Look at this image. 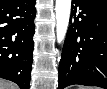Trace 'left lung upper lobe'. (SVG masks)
Returning a JSON list of instances; mask_svg holds the SVG:
<instances>
[{
  "label": "left lung upper lobe",
  "instance_id": "obj_1",
  "mask_svg": "<svg viewBox=\"0 0 107 89\" xmlns=\"http://www.w3.org/2000/svg\"><path fill=\"white\" fill-rule=\"evenodd\" d=\"M94 1H97V2H101V3L107 4V0H94Z\"/></svg>",
  "mask_w": 107,
  "mask_h": 89
}]
</instances>
